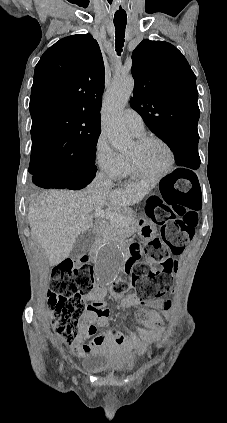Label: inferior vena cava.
<instances>
[{
    "label": "inferior vena cava",
    "mask_w": 227,
    "mask_h": 423,
    "mask_svg": "<svg viewBox=\"0 0 227 423\" xmlns=\"http://www.w3.org/2000/svg\"><path fill=\"white\" fill-rule=\"evenodd\" d=\"M95 182H98V184H102L103 188H113V182L111 180H107L103 170H100L98 172Z\"/></svg>",
    "instance_id": "1"
}]
</instances>
